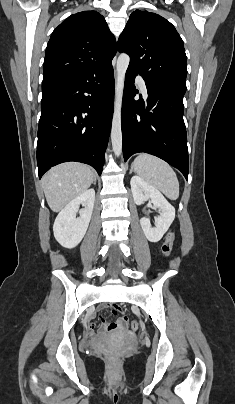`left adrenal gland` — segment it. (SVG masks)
<instances>
[{
	"label": "left adrenal gland",
	"mask_w": 235,
	"mask_h": 404,
	"mask_svg": "<svg viewBox=\"0 0 235 404\" xmlns=\"http://www.w3.org/2000/svg\"><path fill=\"white\" fill-rule=\"evenodd\" d=\"M133 172V166L131 165L130 174Z\"/></svg>",
	"instance_id": "left-adrenal-gland-1"
}]
</instances>
